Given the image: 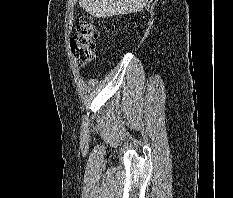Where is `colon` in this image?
Here are the masks:
<instances>
[{
  "instance_id": "1",
  "label": "colon",
  "mask_w": 233,
  "mask_h": 198,
  "mask_svg": "<svg viewBox=\"0 0 233 198\" xmlns=\"http://www.w3.org/2000/svg\"><path fill=\"white\" fill-rule=\"evenodd\" d=\"M96 37L97 30L93 20L88 15H82L70 41L73 56L79 66H85L93 60Z\"/></svg>"
}]
</instances>
